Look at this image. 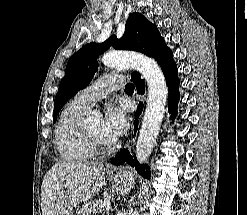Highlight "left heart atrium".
<instances>
[{
    "instance_id": "obj_1",
    "label": "left heart atrium",
    "mask_w": 247,
    "mask_h": 215,
    "mask_svg": "<svg viewBox=\"0 0 247 215\" xmlns=\"http://www.w3.org/2000/svg\"><path fill=\"white\" fill-rule=\"evenodd\" d=\"M127 128L128 123L124 110L119 106H109L102 122V133L105 140L107 142L117 140L127 131Z\"/></svg>"
}]
</instances>
